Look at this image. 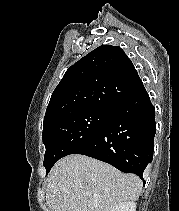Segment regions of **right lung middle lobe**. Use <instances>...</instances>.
I'll list each match as a JSON object with an SVG mask.
<instances>
[{"instance_id":"1","label":"right lung middle lobe","mask_w":179,"mask_h":211,"mask_svg":"<svg viewBox=\"0 0 179 211\" xmlns=\"http://www.w3.org/2000/svg\"><path fill=\"white\" fill-rule=\"evenodd\" d=\"M113 109L90 108L60 117L43 127L46 148L44 167L46 174L62 157L91 141L111 116Z\"/></svg>"}]
</instances>
